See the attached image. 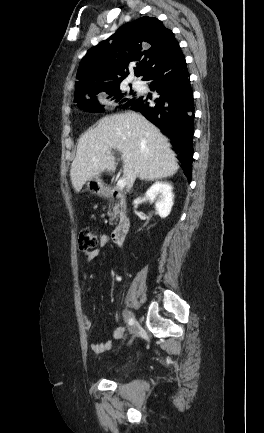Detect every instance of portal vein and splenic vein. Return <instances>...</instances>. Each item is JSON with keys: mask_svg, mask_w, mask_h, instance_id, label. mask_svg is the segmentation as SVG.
I'll list each match as a JSON object with an SVG mask.
<instances>
[{"mask_svg": "<svg viewBox=\"0 0 264 433\" xmlns=\"http://www.w3.org/2000/svg\"><path fill=\"white\" fill-rule=\"evenodd\" d=\"M126 186V180L124 178L119 179L117 182V187L123 189Z\"/></svg>", "mask_w": 264, "mask_h": 433, "instance_id": "portal-vein-and-splenic-vein-1", "label": "portal vein and splenic vein"}]
</instances>
